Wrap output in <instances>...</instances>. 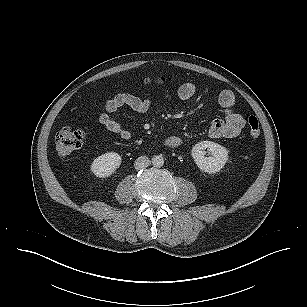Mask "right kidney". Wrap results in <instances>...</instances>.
<instances>
[{
	"label": "right kidney",
	"instance_id": "ca27d5eb",
	"mask_svg": "<svg viewBox=\"0 0 307 307\" xmlns=\"http://www.w3.org/2000/svg\"><path fill=\"white\" fill-rule=\"evenodd\" d=\"M121 162L122 158L118 153L108 152L94 159L91 171L95 176L105 178L112 175L119 168Z\"/></svg>",
	"mask_w": 307,
	"mask_h": 307
}]
</instances>
